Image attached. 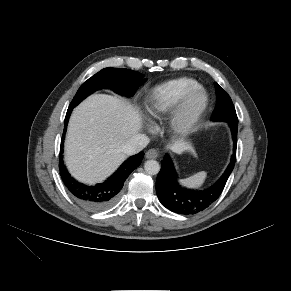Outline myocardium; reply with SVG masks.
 <instances>
[{
    "label": "myocardium",
    "mask_w": 291,
    "mask_h": 291,
    "mask_svg": "<svg viewBox=\"0 0 291 291\" xmlns=\"http://www.w3.org/2000/svg\"><path fill=\"white\" fill-rule=\"evenodd\" d=\"M201 97V104L193 112L189 111L192 100ZM209 106V95L201 85L187 92L175 108L170 116V128L179 135H186L192 132L200 123Z\"/></svg>",
    "instance_id": "myocardium-1"
}]
</instances>
